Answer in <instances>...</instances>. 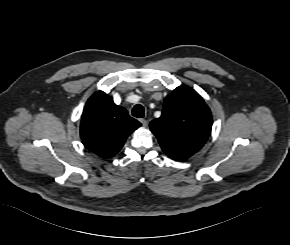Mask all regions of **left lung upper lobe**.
Listing matches in <instances>:
<instances>
[{"mask_svg":"<svg viewBox=\"0 0 290 245\" xmlns=\"http://www.w3.org/2000/svg\"><path fill=\"white\" fill-rule=\"evenodd\" d=\"M212 123L211 111L202 97L190 87L179 86L165 98L162 115L150 123V129L162 150L182 161L203 147Z\"/></svg>","mask_w":290,"mask_h":245,"instance_id":"obj_1","label":"left lung upper lobe"}]
</instances>
